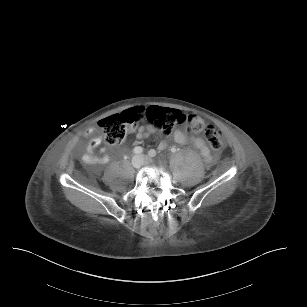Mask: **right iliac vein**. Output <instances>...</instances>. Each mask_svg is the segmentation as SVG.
<instances>
[{
  "label": "right iliac vein",
  "mask_w": 307,
  "mask_h": 307,
  "mask_svg": "<svg viewBox=\"0 0 307 307\" xmlns=\"http://www.w3.org/2000/svg\"><path fill=\"white\" fill-rule=\"evenodd\" d=\"M131 164L134 168L138 169L142 165V159L139 156H134L131 160Z\"/></svg>",
  "instance_id": "63e3f726"
}]
</instances>
